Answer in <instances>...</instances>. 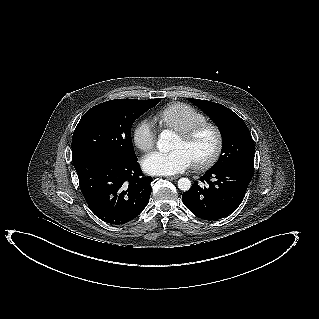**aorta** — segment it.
<instances>
[{
  "instance_id": "obj_1",
  "label": "aorta",
  "mask_w": 319,
  "mask_h": 319,
  "mask_svg": "<svg viewBox=\"0 0 319 319\" xmlns=\"http://www.w3.org/2000/svg\"><path fill=\"white\" fill-rule=\"evenodd\" d=\"M174 134L170 130H164L159 136L157 148L160 152H169L172 150V139ZM178 188L182 191H188L191 188V181L188 178H180L178 180Z\"/></svg>"
}]
</instances>
